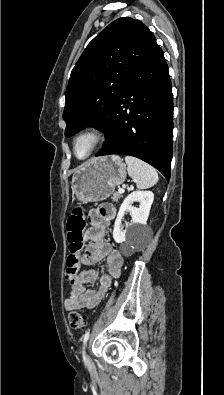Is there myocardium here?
Returning a JSON list of instances; mask_svg holds the SVG:
<instances>
[{"mask_svg":"<svg viewBox=\"0 0 224 395\" xmlns=\"http://www.w3.org/2000/svg\"><path fill=\"white\" fill-rule=\"evenodd\" d=\"M84 137H88L91 139V146L87 155H85L84 157H78L76 155V145L78 141ZM103 138H104V133L98 125L90 124L86 126L79 133H77V135L73 139L72 148H73L74 156L79 160H85L89 158L94 153V151L98 148Z\"/></svg>","mask_w":224,"mask_h":395,"instance_id":"f54148a6","label":"myocardium"}]
</instances>
